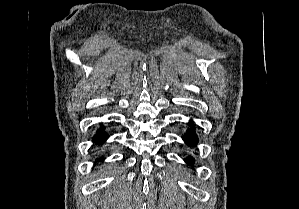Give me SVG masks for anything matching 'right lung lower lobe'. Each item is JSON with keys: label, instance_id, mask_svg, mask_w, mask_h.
Returning a JSON list of instances; mask_svg holds the SVG:
<instances>
[{"label": "right lung lower lobe", "instance_id": "98d812e1", "mask_svg": "<svg viewBox=\"0 0 299 209\" xmlns=\"http://www.w3.org/2000/svg\"><path fill=\"white\" fill-rule=\"evenodd\" d=\"M103 130H104V126L101 124L99 129L97 130V134L94 136V141L98 144L99 143L102 144L108 137L103 132ZM102 160H103V157H101V156L97 157V161H102Z\"/></svg>", "mask_w": 299, "mask_h": 209}]
</instances>
